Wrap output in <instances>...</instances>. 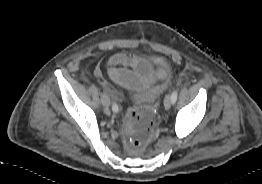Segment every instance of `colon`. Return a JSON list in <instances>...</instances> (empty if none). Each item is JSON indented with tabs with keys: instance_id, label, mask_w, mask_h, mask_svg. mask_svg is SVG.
Returning <instances> with one entry per match:
<instances>
[{
	"instance_id": "colon-1",
	"label": "colon",
	"mask_w": 262,
	"mask_h": 184,
	"mask_svg": "<svg viewBox=\"0 0 262 184\" xmlns=\"http://www.w3.org/2000/svg\"><path fill=\"white\" fill-rule=\"evenodd\" d=\"M153 120V113L149 109H132L129 112L125 126V141L129 149H144L152 133Z\"/></svg>"
}]
</instances>
